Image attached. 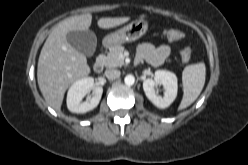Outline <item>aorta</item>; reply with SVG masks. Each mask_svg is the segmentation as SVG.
<instances>
[{
    "label": "aorta",
    "instance_id": "obj_1",
    "mask_svg": "<svg viewBox=\"0 0 248 165\" xmlns=\"http://www.w3.org/2000/svg\"><path fill=\"white\" fill-rule=\"evenodd\" d=\"M124 82H125L126 85H133L134 82H135V77L133 75H127L124 78Z\"/></svg>",
    "mask_w": 248,
    "mask_h": 165
}]
</instances>
